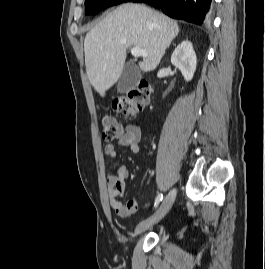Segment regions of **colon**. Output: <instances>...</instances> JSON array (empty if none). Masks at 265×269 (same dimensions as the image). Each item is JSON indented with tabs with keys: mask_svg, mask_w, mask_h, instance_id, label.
<instances>
[{
	"mask_svg": "<svg viewBox=\"0 0 265 269\" xmlns=\"http://www.w3.org/2000/svg\"><path fill=\"white\" fill-rule=\"evenodd\" d=\"M151 94L150 84L147 81H141L137 87L114 100L113 110L126 118H134L148 105ZM102 128V138L107 142L113 141L124 134L122 125L111 115L103 117Z\"/></svg>",
	"mask_w": 265,
	"mask_h": 269,
	"instance_id": "colon-1",
	"label": "colon"
}]
</instances>
